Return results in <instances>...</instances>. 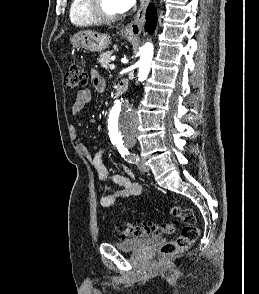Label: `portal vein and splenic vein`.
<instances>
[{
	"instance_id": "obj_1",
	"label": "portal vein and splenic vein",
	"mask_w": 259,
	"mask_h": 294,
	"mask_svg": "<svg viewBox=\"0 0 259 294\" xmlns=\"http://www.w3.org/2000/svg\"><path fill=\"white\" fill-rule=\"evenodd\" d=\"M110 69H115V65L114 64H110Z\"/></svg>"
}]
</instances>
